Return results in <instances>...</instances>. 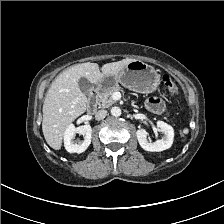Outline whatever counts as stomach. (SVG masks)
<instances>
[{
	"label": "stomach",
	"mask_w": 224,
	"mask_h": 224,
	"mask_svg": "<svg viewBox=\"0 0 224 224\" xmlns=\"http://www.w3.org/2000/svg\"><path fill=\"white\" fill-rule=\"evenodd\" d=\"M118 83L135 92L147 94L158 88L160 75L153 66L140 60H133L117 74L104 76L98 86L101 89H108Z\"/></svg>",
	"instance_id": "obj_1"
}]
</instances>
